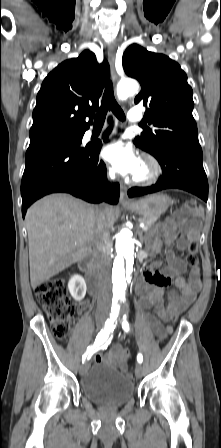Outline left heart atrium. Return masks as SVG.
I'll list each match as a JSON object with an SVG mask.
<instances>
[{"label": "left heart atrium", "mask_w": 221, "mask_h": 448, "mask_svg": "<svg viewBox=\"0 0 221 448\" xmlns=\"http://www.w3.org/2000/svg\"><path fill=\"white\" fill-rule=\"evenodd\" d=\"M103 156L122 175L136 176L141 167V160L133 149L120 141L107 145Z\"/></svg>", "instance_id": "left-heart-atrium-1"}]
</instances>
